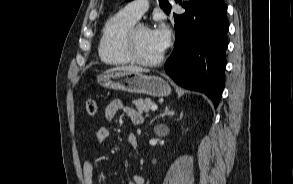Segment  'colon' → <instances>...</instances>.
<instances>
[{"label":"colon","instance_id":"obj_1","mask_svg":"<svg viewBox=\"0 0 293 184\" xmlns=\"http://www.w3.org/2000/svg\"><path fill=\"white\" fill-rule=\"evenodd\" d=\"M86 112L89 116H94L97 113V103L95 99L90 98L86 101Z\"/></svg>","mask_w":293,"mask_h":184}]
</instances>
